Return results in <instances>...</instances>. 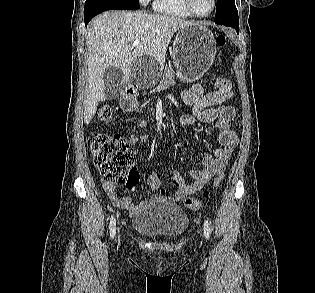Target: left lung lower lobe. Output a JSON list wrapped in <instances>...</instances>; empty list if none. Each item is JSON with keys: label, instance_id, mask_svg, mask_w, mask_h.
Returning a JSON list of instances; mask_svg holds the SVG:
<instances>
[{"label": "left lung lower lobe", "instance_id": "0a47b994", "mask_svg": "<svg viewBox=\"0 0 315 293\" xmlns=\"http://www.w3.org/2000/svg\"><path fill=\"white\" fill-rule=\"evenodd\" d=\"M236 31L239 33V27H238V28H236Z\"/></svg>", "mask_w": 315, "mask_h": 293}]
</instances>
